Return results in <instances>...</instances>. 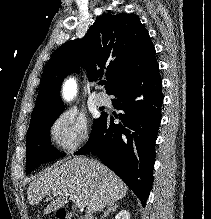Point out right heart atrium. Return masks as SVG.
I'll return each mask as SVG.
<instances>
[{"label": "right heart atrium", "mask_w": 211, "mask_h": 219, "mask_svg": "<svg viewBox=\"0 0 211 219\" xmlns=\"http://www.w3.org/2000/svg\"><path fill=\"white\" fill-rule=\"evenodd\" d=\"M48 135L59 150L72 153L89 141L87 120L73 110L61 111L50 123Z\"/></svg>", "instance_id": "obj_1"}]
</instances>
